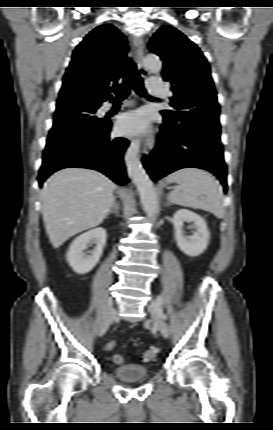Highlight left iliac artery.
I'll list each match as a JSON object with an SVG mask.
<instances>
[{
  "instance_id": "obj_1",
  "label": "left iliac artery",
  "mask_w": 273,
  "mask_h": 430,
  "mask_svg": "<svg viewBox=\"0 0 273 430\" xmlns=\"http://www.w3.org/2000/svg\"><path fill=\"white\" fill-rule=\"evenodd\" d=\"M156 303H157V305H158V306H160V307L162 308L163 299H162V297H161V296H158V297L156 298ZM161 316H162V318H163V319H166V318H167V316H166L165 314H163L162 310H161Z\"/></svg>"
}]
</instances>
